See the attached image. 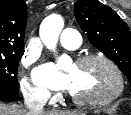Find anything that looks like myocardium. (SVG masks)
I'll return each mask as SVG.
<instances>
[{"label":"myocardium","instance_id":"1","mask_svg":"<svg viewBox=\"0 0 131 115\" xmlns=\"http://www.w3.org/2000/svg\"><path fill=\"white\" fill-rule=\"evenodd\" d=\"M93 60H100L104 62L105 64H107L112 69L117 80L116 89L114 90L112 94H110L109 96L105 98H100V99L80 98L71 94L70 99L76 105L83 106V107H104L111 104L112 102H114L115 100H117L119 97L122 96L125 89L124 77L118 65L112 59H110L104 54L91 53V54H85V55L79 56L76 59L75 64L82 65Z\"/></svg>","mask_w":131,"mask_h":115}]
</instances>
